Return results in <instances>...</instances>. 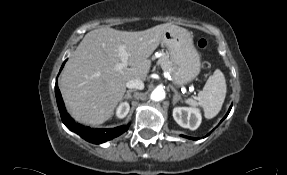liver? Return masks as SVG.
<instances>
[{"mask_svg":"<svg viewBox=\"0 0 287 175\" xmlns=\"http://www.w3.org/2000/svg\"><path fill=\"white\" fill-rule=\"evenodd\" d=\"M178 27L160 24L144 31H120L103 27L88 32L67 61L59 82L71 116L87 125H100L114 113L132 79L145 80L148 59L162 41L165 30ZM129 54L130 67L117 69L119 48Z\"/></svg>","mask_w":287,"mask_h":175,"instance_id":"1","label":"liver"}]
</instances>
